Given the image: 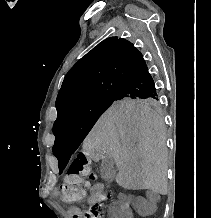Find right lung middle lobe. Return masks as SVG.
Listing matches in <instances>:
<instances>
[{
	"label": "right lung middle lobe",
	"instance_id": "obj_1",
	"mask_svg": "<svg viewBox=\"0 0 211 218\" xmlns=\"http://www.w3.org/2000/svg\"><path fill=\"white\" fill-rule=\"evenodd\" d=\"M110 107L161 109L158 97H120L110 94L88 99L57 116L53 126L55 144L78 147L98 118Z\"/></svg>",
	"mask_w": 211,
	"mask_h": 218
}]
</instances>
